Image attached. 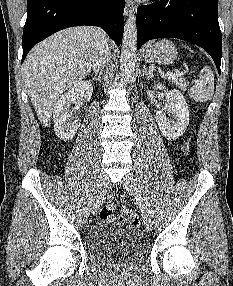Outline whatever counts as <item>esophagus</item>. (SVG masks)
<instances>
[{
	"mask_svg": "<svg viewBox=\"0 0 233 286\" xmlns=\"http://www.w3.org/2000/svg\"><path fill=\"white\" fill-rule=\"evenodd\" d=\"M136 11V7L132 0H126L125 14L126 16L132 15Z\"/></svg>",
	"mask_w": 233,
	"mask_h": 286,
	"instance_id": "34e87169",
	"label": "esophagus"
}]
</instances>
